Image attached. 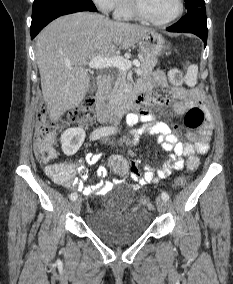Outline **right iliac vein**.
<instances>
[{
	"label": "right iliac vein",
	"instance_id": "obj_1",
	"mask_svg": "<svg viewBox=\"0 0 233 284\" xmlns=\"http://www.w3.org/2000/svg\"><path fill=\"white\" fill-rule=\"evenodd\" d=\"M82 206V200L81 198H77L76 200L73 201L72 203V209L75 212H79Z\"/></svg>",
	"mask_w": 233,
	"mask_h": 284
}]
</instances>
